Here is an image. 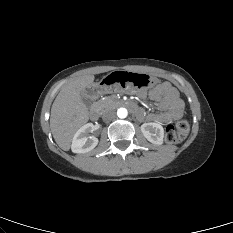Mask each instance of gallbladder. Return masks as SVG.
<instances>
[{
	"instance_id": "1",
	"label": "gallbladder",
	"mask_w": 233,
	"mask_h": 233,
	"mask_svg": "<svg viewBox=\"0 0 233 233\" xmlns=\"http://www.w3.org/2000/svg\"><path fill=\"white\" fill-rule=\"evenodd\" d=\"M82 101H83V103H84L87 107H90L91 104H92L91 100H89V99H88L87 97H85V96H82Z\"/></svg>"
}]
</instances>
